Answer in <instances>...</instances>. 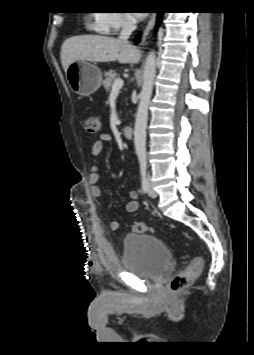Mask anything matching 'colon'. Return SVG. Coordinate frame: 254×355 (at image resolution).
<instances>
[{"label":"colon","instance_id":"obj_1","mask_svg":"<svg viewBox=\"0 0 254 355\" xmlns=\"http://www.w3.org/2000/svg\"><path fill=\"white\" fill-rule=\"evenodd\" d=\"M84 127L89 134H96L99 130V121L96 117L89 116L84 120ZM131 229L135 233H146L151 230L144 222L133 223ZM203 265L204 262L201 257H193L186 268L172 277L170 281L171 290L179 292L190 287L194 280L200 275Z\"/></svg>","mask_w":254,"mask_h":355}]
</instances>
